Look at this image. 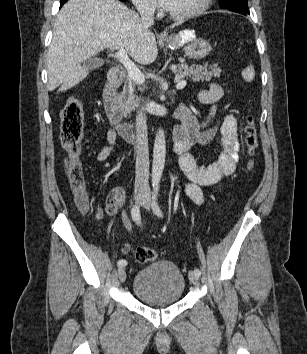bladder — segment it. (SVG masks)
I'll use <instances>...</instances> for the list:
<instances>
[{
  "label": "bladder",
  "mask_w": 307,
  "mask_h": 354,
  "mask_svg": "<svg viewBox=\"0 0 307 354\" xmlns=\"http://www.w3.org/2000/svg\"><path fill=\"white\" fill-rule=\"evenodd\" d=\"M132 288L134 294L148 305H171L182 298L185 277L175 263L159 260L136 273Z\"/></svg>",
  "instance_id": "bladder-1"
}]
</instances>
